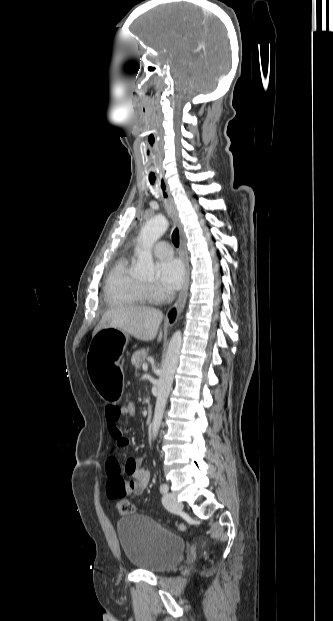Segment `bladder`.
<instances>
[{
  "mask_svg": "<svg viewBox=\"0 0 333 621\" xmlns=\"http://www.w3.org/2000/svg\"><path fill=\"white\" fill-rule=\"evenodd\" d=\"M116 530L122 552L136 569L161 573L173 568L184 557L183 538L148 516L123 517L117 521Z\"/></svg>",
  "mask_w": 333,
  "mask_h": 621,
  "instance_id": "1",
  "label": "bladder"
}]
</instances>
